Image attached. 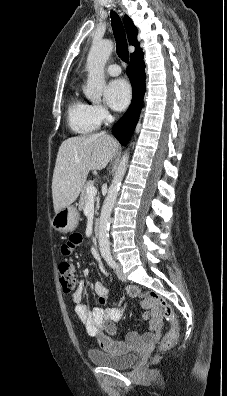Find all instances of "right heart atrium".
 I'll use <instances>...</instances> for the list:
<instances>
[{
  "label": "right heart atrium",
  "mask_w": 227,
  "mask_h": 396,
  "mask_svg": "<svg viewBox=\"0 0 227 396\" xmlns=\"http://www.w3.org/2000/svg\"><path fill=\"white\" fill-rule=\"evenodd\" d=\"M91 109L93 116L95 117L96 121L99 124L103 122H107L112 118V115L109 112V110L101 104H92Z\"/></svg>",
  "instance_id": "d8ad5b80"
}]
</instances>
